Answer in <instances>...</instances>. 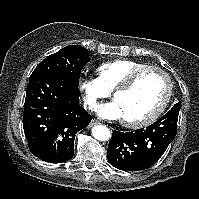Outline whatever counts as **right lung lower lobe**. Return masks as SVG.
<instances>
[{
    "label": "right lung lower lobe",
    "mask_w": 199,
    "mask_h": 199,
    "mask_svg": "<svg viewBox=\"0 0 199 199\" xmlns=\"http://www.w3.org/2000/svg\"><path fill=\"white\" fill-rule=\"evenodd\" d=\"M78 101V85L66 76L48 73L30 77L23 128L32 154L50 163L72 158L75 134L92 119Z\"/></svg>",
    "instance_id": "1"
}]
</instances>
